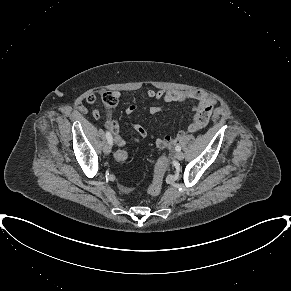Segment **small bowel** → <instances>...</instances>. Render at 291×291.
<instances>
[{
  "label": "small bowel",
  "mask_w": 291,
  "mask_h": 291,
  "mask_svg": "<svg viewBox=\"0 0 291 291\" xmlns=\"http://www.w3.org/2000/svg\"><path fill=\"white\" fill-rule=\"evenodd\" d=\"M116 96L119 97V93L115 92ZM146 95L149 98L156 100H163L167 103L172 102H186L194 101L193 104V119L188 125L186 131L179 132L174 138L164 135L157 139L156 143L160 148L170 149L173 148L184 136L185 132H196L205 127L208 123L210 114L215 105V100L207 93L199 90H154L148 89ZM88 104H93L96 101V96L91 94L86 98ZM136 110V104L133 103L129 105L125 112L131 114ZM162 111V108L158 105H153L149 108L151 114H158ZM94 118H99L100 113L97 109L92 111ZM106 126L113 134L114 142L118 147H124L127 141L121 137L119 134V124L116 119H114L111 113H107ZM136 132L141 136L145 137L147 135L145 129L141 125H135ZM133 141H137L134 139ZM121 190L124 193H129L131 189L127 186H121Z\"/></svg>",
  "instance_id": "small-bowel-1"
}]
</instances>
